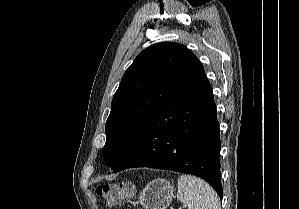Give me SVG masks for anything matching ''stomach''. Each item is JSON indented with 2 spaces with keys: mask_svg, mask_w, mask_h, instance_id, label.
<instances>
[{
  "mask_svg": "<svg viewBox=\"0 0 299 209\" xmlns=\"http://www.w3.org/2000/svg\"><path fill=\"white\" fill-rule=\"evenodd\" d=\"M173 197L174 186L165 179L157 178L145 186L134 204H139L144 209H166Z\"/></svg>",
  "mask_w": 299,
  "mask_h": 209,
  "instance_id": "obj_1",
  "label": "stomach"
}]
</instances>
